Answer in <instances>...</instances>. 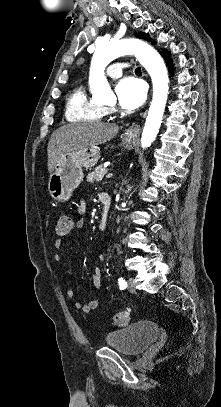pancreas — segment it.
<instances>
[{"label":"pancreas","instance_id":"cf45deb5","mask_svg":"<svg viewBox=\"0 0 221 407\" xmlns=\"http://www.w3.org/2000/svg\"><path fill=\"white\" fill-rule=\"evenodd\" d=\"M108 169L98 166L92 172L87 175V182L94 183L99 182L103 179L104 175L107 173Z\"/></svg>","mask_w":221,"mask_h":407}]
</instances>
